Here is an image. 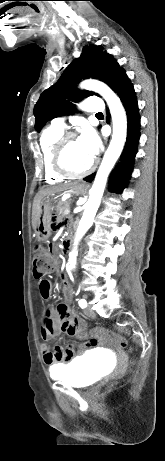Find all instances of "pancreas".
Here are the masks:
<instances>
[{
	"instance_id": "pancreas-1",
	"label": "pancreas",
	"mask_w": 165,
	"mask_h": 461,
	"mask_svg": "<svg viewBox=\"0 0 165 461\" xmlns=\"http://www.w3.org/2000/svg\"><path fill=\"white\" fill-rule=\"evenodd\" d=\"M70 206V201L62 202L60 201L57 206H56V211H57V220H62L64 217V211L69 208Z\"/></svg>"
}]
</instances>
